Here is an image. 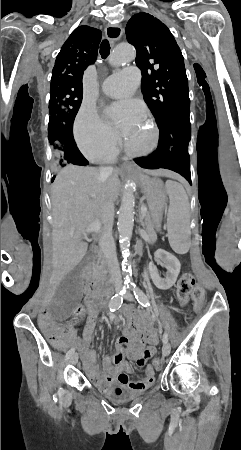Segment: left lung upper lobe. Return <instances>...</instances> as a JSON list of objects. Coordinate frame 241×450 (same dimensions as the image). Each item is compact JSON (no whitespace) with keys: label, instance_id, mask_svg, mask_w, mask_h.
<instances>
[{"label":"left lung upper lobe","instance_id":"1","mask_svg":"<svg viewBox=\"0 0 241 450\" xmlns=\"http://www.w3.org/2000/svg\"><path fill=\"white\" fill-rule=\"evenodd\" d=\"M126 36L136 48V64L143 76L141 90L157 123L177 108L189 106L183 56L168 27L141 12L128 21Z\"/></svg>","mask_w":241,"mask_h":450}]
</instances>
